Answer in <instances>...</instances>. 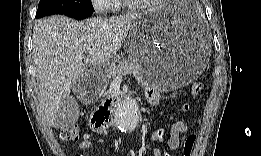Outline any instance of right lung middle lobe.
I'll list each match as a JSON object with an SVG mask.
<instances>
[{
    "label": "right lung middle lobe",
    "mask_w": 261,
    "mask_h": 156,
    "mask_svg": "<svg viewBox=\"0 0 261 156\" xmlns=\"http://www.w3.org/2000/svg\"><path fill=\"white\" fill-rule=\"evenodd\" d=\"M77 12H94L91 0H40L36 18L55 13L72 16Z\"/></svg>",
    "instance_id": "right-lung-middle-lobe-1"
}]
</instances>
